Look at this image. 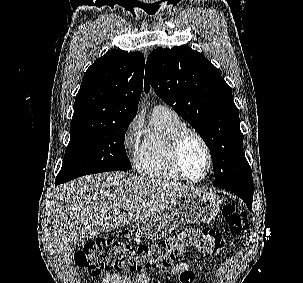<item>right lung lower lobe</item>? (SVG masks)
<instances>
[{
  "instance_id": "1",
  "label": "right lung lower lobe",
  "mask_w": 303,
  "mask_h": 283,
  "mask_svg": "<svg viewBox=\"0 0 303 283\" xmlns=\"http://www.w3.org/2000/svg\"><path fill=\"white\" fill-rule=\"evenodd\" d=\"M64 182H66L64 179H61V178H56V180H55V185H59V184H61V183H64Z\"/></svg>"
}]
</instances>
